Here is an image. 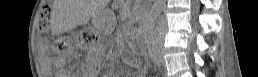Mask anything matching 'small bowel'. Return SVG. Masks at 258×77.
Segmentation results:
<instances>
[{
    "label": "small bowel",
    "instance_id": "1",
    "mask_svg": "<svg viewBox=\"0 0 258 77\" xmlns=\"http://www.w3.org/2000/svg\"><path fill=\"white\" fill-rule=\"evenodd\" d=\"M39 48L43 53H46L49 49V43L47 40H41L39 42ZM44 59L47 63L52 64L54 67L57 69H62L64 68V60L62 58L58 57H49L47 55H44Z\"/></svg>",
    "mask_w": 258,
    "mask_h": 77
}]
</instances>
